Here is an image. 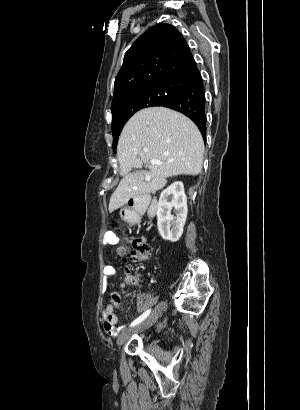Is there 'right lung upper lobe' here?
Returning <instances> with one entry per match:
<instances>
[{
  "label": "right lung upper lobe",
  "mask_w": 300,
  "mask_h": 410,
  "mask_svg": "<svg viewBox=\"0 0 300 410\" xmlns=\"http://www.w3.org/2000/svg\"><path fill=\"white\" fill-rule=\"evenodd\" d=\"M197 70L188 44L174 26L151 27L125 54L114 83L112 114L128 91L167 82L187 83Z\"/></svg>",
  "instance_id": "1"
}]
</instances>
